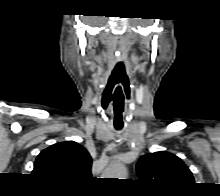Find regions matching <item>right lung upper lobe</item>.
<instances>
[{
  "label": "right lung upper lobe",
  "instance_id": "1",
  "mask_svg": "<svg viewBox=\"0 0 220 196\" xmlns=\"http://www.w3.org/2000/svg\"><path fill=\"white\" fill-rule=\"evenodd\" d=\"M92 158L74 141L56 143L37 157L32 174L64 185L80 184L91 178Z\"/></svg>",
  "mask_w": 220,
  "mask_h": 196
}]
</instances>
